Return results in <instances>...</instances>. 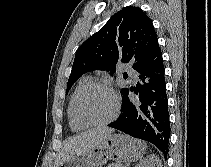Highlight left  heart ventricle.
Returning a JSON list of instances; mask_svg holds the SVG:
<instances>
[{"instance_id": "obj_1", "label": "left heart ventricle", "mask_w": 211, "mask_h": 167, "mask_svg": "<svg viewBox=\"0 0 211 167\" xmlns=\"http://www.w3.org/2000/svg\"><path fill=\"white\" fill-rule=\"evenodd\" d=\"M78 110L88 121H104L113 114L114 100L107 90L99 87L91 88L82 95Z\"/></svg>"}]
</instances>
